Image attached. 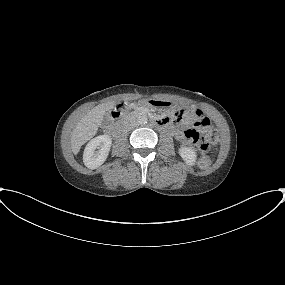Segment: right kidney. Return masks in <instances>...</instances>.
I'll use <instances>...</instances> for the list:
<instances>
[{
    "mask_svg": "<svg viewBox=\"0 0 285 285\" xmlns=\"http://www.w3.org/2000/svg\"><path fill=\"white\" fill-rule=\"evenodd\" d=\"M112 140L108 135H100L88 142L83 153V162L89 169L101 166L110 151Z\"/></svg>",
    "mask_w": 285,
    "mask_h": 285,
    "instance_id": "1",
    "label": "right kidney"
}]
</instances>
